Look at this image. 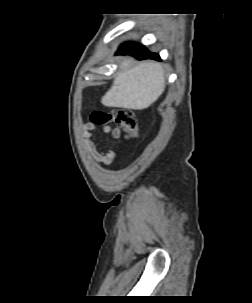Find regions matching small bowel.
Instances as JSON below:
<instances>
[{
  "instance_id": "1",
  "label": "small bowel",
  "mask_w": 252,
  "mask_h": 303,
  "mask_svg": "<svg viewBox=\"0 0 252 303\" xmlns=\"http://www.w3.org/2000/svg\"><path fill=\"white\" fill-rule=\"evenodd\" d=\"M95 127L91 124H85L82 128V142L90 156L98 163L104 165H110L119 154L118 151L109 149L101 150L99 145L91 138L92 132ZM104 133H111L114 139H120L122 132L119 128H112L111 126H105L103 128Z\"/></svg>"
}]
</instances>
